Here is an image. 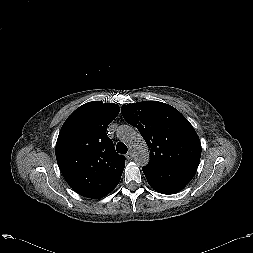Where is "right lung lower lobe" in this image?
Segmentation results:
<instances>
[{
	"mask_svg": "<svg viewBox=\"0 0 253 253\" xmlns=\"http://www.w3.org/2000/svg\"><path fill=\"white\" fill-rule=\"evenodd\" d=\"M116 186H117V185H116ZM116 186H115V187H116ZM115 187H114V188H115ZM114 188H113V189H114ZM113 189H112V190H113ZM112 190H110L109 192H107V193L103 194V195H102V196H100L99 198H102V197L106 196V195H107V194H109Z\"/></svg>",
	"mask_w": 253,
	"mask_h": 253,
	"instance_id": "right-lung-lower-lobe-1",
	"label": "right lung lower lobe"
}]
</instances>
